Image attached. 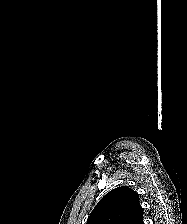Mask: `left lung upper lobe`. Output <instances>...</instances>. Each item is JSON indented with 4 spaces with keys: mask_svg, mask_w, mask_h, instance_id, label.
Segmentation results:
<instances>
[{
    "mask_svg": "<svg viewBox=\"0 0 187 224\" xmlns=\"http://www.w3.org/2000/svg\"><path fill=\"white\" fill-rule=\"evenodd\" d=\"M87 224H144L138 194L128 186L113 189L95 206Z\"/></svg>",
    "mask_w": 187,
    "mask_h": 224,
    "instance_id": "1",
    "label": "left lung upper lobe"
}]
</instances>
